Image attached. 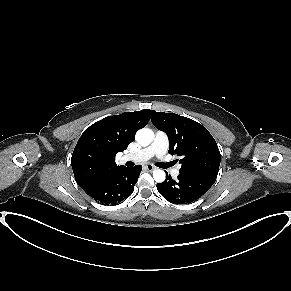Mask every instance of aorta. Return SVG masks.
Returning a JSON list of instances; mask_svg holds the SVG:
<instances>
[{"label":"aorta","instance_id":"obj_1","mask_svg":"<svg viewBox=\"0 0 291 291\" xmlns=\"http://www.w3.org/2000/svg\"><path fill=\"white\" fill-rule=\"evenodd\" d=\"M136 140L142 146H148L152 142V131L148 128H142L136 133ZM153 178L156 182H163L165 180V172L163 170L153 171Z\"/></svg>","mask_w":291,"mask_h":291}]
</instances>
